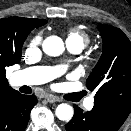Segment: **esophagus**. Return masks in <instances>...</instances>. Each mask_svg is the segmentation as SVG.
Returning a JSON list of instances; mask_svg holds the SVG:
<instances>
[{"mask_svg": "<svg viewBox=\"0 0 131 131\" xmlns=\"http://www.w3.org/2000/svg\"><path fill=\"white\" fill-rule=\"evenodd\" d=\"M46 100L49 103H54V102H60V101H62L59 97L54 96V95H46Z\"/></svg>", "mask_w": 131, "mask_h": 131, "instance_id": "34e87169", "label": "esophagus"}]
</instances>
